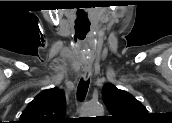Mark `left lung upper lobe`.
Segmentation results:
<instances>
[{
	"label": "left lung upper lobe",
	"mask_w": 172,
	"mask_h": 123,
	"mask_svg": "<svg viewBox=\"0 0 172 123\" xmlns=\"http://www.w3.org/2000/svg\"><path fill=\"white\" fill-rule=\"evenodd\" d=\"M103 101L116 122H133L143 119L148 111L133 95L107 83L102 89Z\"/></svg>",
	"instance_id": "1"
}]
</instances>
